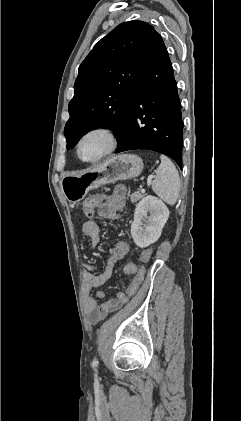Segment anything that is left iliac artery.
Segmentation results:
<instances>
[{
	"mask_svg": "<svg viewBox=\"0 0 241 421\" xmlns=\"http://www.w3.org/2000/svg\"><path fill=\"white\" fill-rule=\"evenodd\" d=\"M92 366L95 368L98 366V361L96 358H94L93 362H92Z\"/></svg>",
	"mask_w": 241,
	"mask_h": 421,
	"instance_id": "left-iliac-artery-1",
	"label": "left iliac artery"
}]
</instances>
